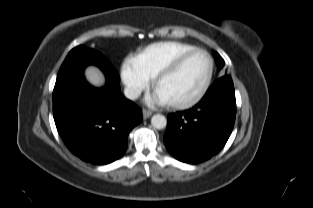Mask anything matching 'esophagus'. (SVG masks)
<instances>
[{"instance_id":"1","label":"esophagus","mask_w":313,"mask_h":208,"mask_svg":"<svg viewBox=\"0 0 313 208\" xmlns=\"http://www.w3.org/2000/svg\"><path fill=\"white\" fill-rule=\"evenodd\" d=\"M142 114H143V118L147 119V118H149L152 115V111L144 109Z\"/></svg>"}]
</instances>
